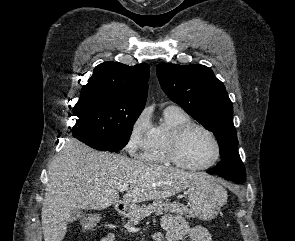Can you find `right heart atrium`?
<instances>
[{"label": "right heart atrium", "instance_id": "right-heart-atrium-1", "mask_svg": "<svg viewBox=\"0 0 295 241\" xmlns=\"http://www.w3.org/2000/svg\"><path fill=\"white\" fill-rule=\"evenodd\" d=\"M152 131V123L149 109L141 110L132 120L126 150L132 154L142 153L145 149Z\"/></svg>", "mask_w": 295, "mask_h": 241}]
</instances>
